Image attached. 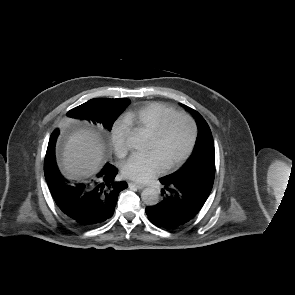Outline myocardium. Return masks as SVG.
Returning <instances> with one entry per match:
<instances>
[{"mask_svg":"<svg viewBox=\"0 0 295 295\" xmlns=\"http://www.w3.org/2000/svg\"><path fill=\"white\" fill-rule=\"evenodd\" d=\"M177 118H184L186 119L191 126V138H190V142L189 145L186 149V151L174 162L168 164L167 166H165L164 170L165 171H171L174 170L178 167H180L192 154L195 145H196V141H197V136H198V127H197V123L195 121V119L186 113H181V112H177L174 114H171L167 117H165L160 123L159 125L155 128V130L151 133V137L154 138L155 140H159L165 133L167 127L169 126V124Z\"/></svg>","mask_w":295,"mask_h":295,"instance_id":"myocardium-1","label":"myocardium"}]
</instances>
